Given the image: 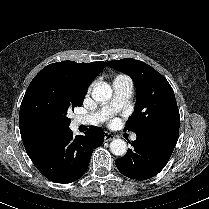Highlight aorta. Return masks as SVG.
<instances>
[{
  "instance_id": "1",
  "label": "aorta",
  "mask_w": 209,
  "mask_h": 209,
  "mask_svg": "<svg viewBox=\"0 0 209 209\" xmlns=\"http://www.w3.org/2000/svg\"><path fill=\"white\" fill-rule=\"evenodd\" d=\"M112 88L106 84H97L92 91V98L96 102H106L112 97ZM110 151L115 156H124L127 152V144L122 139H114L110 143Z\"/></svg>"
}]
</instances>
